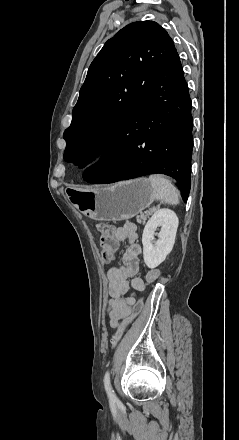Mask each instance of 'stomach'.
<instances>
[{"label":"stomach","mask_w":239,"mask_h":440,"mask_svg":"<svg viewBox=\"0 0 239 440\" xmlns=\"http://www.w3.org/2000/svg\"><path fill=\"white\" fill-rule=\"evenodd\" d=\"M74 206L87 218L99 222L130 220L154 202V188L147 178L117 182L104 188H75Z\"/></svg>","instance_id":"obj_1"}]
</instances>
